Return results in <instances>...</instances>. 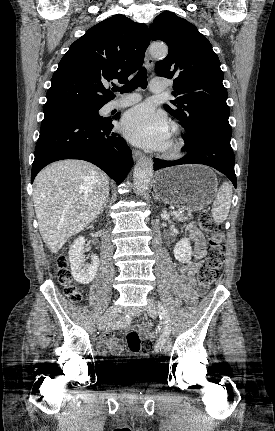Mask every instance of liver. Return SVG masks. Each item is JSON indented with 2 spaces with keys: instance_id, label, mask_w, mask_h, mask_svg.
I'll return each instance as SVG.
<instances>
[{
  "instance_id": "liver-1",
  "label": "liver",
  "mask_w": 275,
  "mask_h": 431,
  "mask_svg": "<svg viewBox=\"0 0 275 431\" xmlns=\"http://www.w3.org/2000/svg\"><path fill=\"white\" fill-rule=\"evenodd\" d=\"M34 183L39 231L52 253L97 218L109 194L107 175L82 160L55 162L40 171Z\"/></svg>"
}]
</instances>
